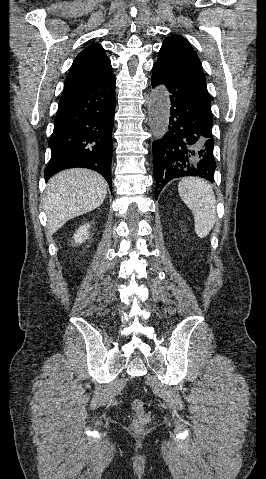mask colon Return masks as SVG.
<instances>
[{
    "label": "colon",
    "instance_id": "1",
    "mask_svg": "<svg viewBox=\"0 0 266 479\" xmlns=\"http://www.w3.org/2000/svg\"><path fill=\"white\" fill-rule=\"evenodd\" d=\"M131 408L135 414L132 421V427L134 431L140 433L150 422L151 416L149 412L145 409V405L140 399H134L131 402Z\"/></svg>",
    "mask_w": 266,
    "mask_h": 479
}]
</instances>
